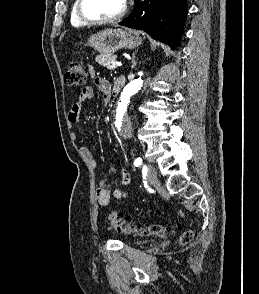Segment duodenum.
<instances>
[{"instance_id": "obj_1", "label": "duodenum", "mask_w": 259, "mask_h": 294, "mask_svg": "<svg viewBox=\"0 0 259 294\" xmlns=\"http://www.w3.org/2000/svg\"><path fill=\"white\" fill-rule=\"evenodd\" d=\"M121 84H122V81H121V80H119V81L116 83V85H117L116 89H117V90L120 88Z\"/></svg>"}]
</instances>
